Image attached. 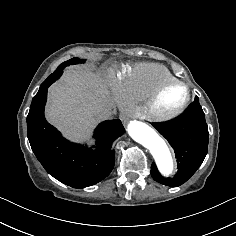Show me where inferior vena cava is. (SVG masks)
<instances>
[{
	"instance_id": "602c4592",
	"label": "inferior vena cava",
	"mask_w": 236,
	"mask_h": 236,
	"mask_svg": "<svg viewBox=\"0 0 236 236\" xmlns=\"http://www.w3.org/2000/svg\"><path fill=\"white\" fill-rule=\"evenodd\" d=\"M97 113L99 114L100 118H108L112 115V110L109 106H101Z\"/></svg>"
}]
</instances>
